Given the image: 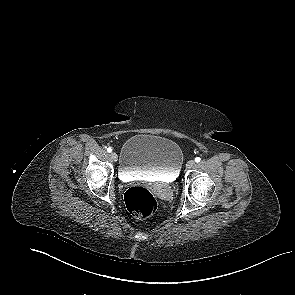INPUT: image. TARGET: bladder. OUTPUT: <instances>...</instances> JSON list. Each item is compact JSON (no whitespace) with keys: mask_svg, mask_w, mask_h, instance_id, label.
<instances>
[{"mask_svg":"<svg viewBox=\"0 0 295 295\" xmlns=\"http://www.w3.org/2000/svg\"><path fill=\"white\" fill-rule=\"evenodd\" d=\"M183 164V152L173 140L152 135L136 134L125 141L119 157L122 177L153 176L173 181Z\"/></svg>","mask_w":295,"mask_h":295,"instance_id":"obj_1","label":"bladder"}]
</instances>
